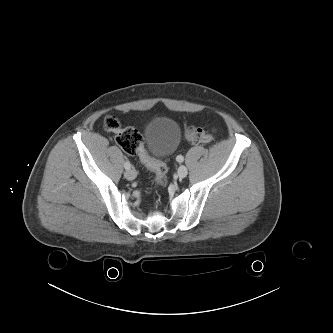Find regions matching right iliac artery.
<instances>
[{"mask_svg": "<svg viewBox=\"0 0 333 333\" xmlns=\"http://www.w3.org/2000/svg\"><path fill=\"white\" fill-rule=\"evenodd\" d=\"M124 167H125L126 170H129V169L131 168V164H130V162H129V161H126V162L124 163Z\"/></svg>", "mask_w": 333, "mask_h": 333, "instance_id": "1", "label": "right iliac artery"}]
</instances>
